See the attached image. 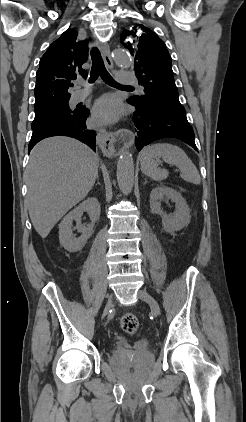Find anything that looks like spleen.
Segmentation results:
<instances>
[{"mask_svg":"<svg viewBox=\"0 0 246 422\" xmlns=\"http://www.w3.org/2000/svg\"><path fill=\"white\" fill-rule=\"evenodd\" d=\"M156 157H161L166 163L180 169L183 180L195 185L201 183L200 174L188 157L178 146L168 143H156L145 147L140 153L141 171L155 181H162L168 177V171L158 167Z\"/></svg>","mask_w":246,"mask_h":422,"instance_id":"obj_1","label":"spleen"}]
</instances>
